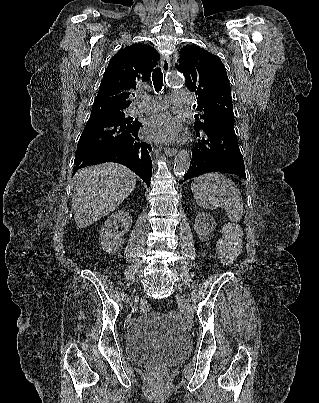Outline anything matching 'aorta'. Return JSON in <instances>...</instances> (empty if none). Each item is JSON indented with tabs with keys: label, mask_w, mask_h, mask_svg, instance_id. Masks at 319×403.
<instances>
[{
	"label": "aorta",
	"mask_w": 319,
	"mask_h": 403,
	"mask_svg": "<svg viewBox=\"0 0 319 403\" xmlns=\"http://www.w3.org/2000/svg\"><path fill=\"white\" fill-rule=\"evenodd\" d=\"M166 84L171 87H179L183 84V80L175 73L170 74L166 78ZM190 166V154L186 150H181L174 161V173L182 176L186 173Z\"/></svg>",
	"instance_id": "762f6f07"
}]
</instances>
